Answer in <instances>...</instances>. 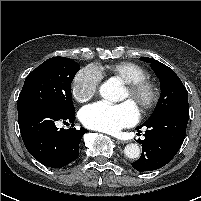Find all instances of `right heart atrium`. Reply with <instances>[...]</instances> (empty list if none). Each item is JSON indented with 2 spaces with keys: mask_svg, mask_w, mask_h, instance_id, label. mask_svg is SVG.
<instances>
[{
  "mask_svg": "<svg viewBox=\"0 0 201 201\" xmlns=\"http://www.w3.org/2000/svg\"><path fill=\"white\" fill-rule=\"evenodd\" d=\"M101 74L94 66H86L78 71L72 81V95L79 102L93 98L99 88Z\"/></svg>",
  "mask_w": 201,
  "mask_h": 201,
  "instance_id": "1",
  "label": "right heart atrium"
}]
</instances>
